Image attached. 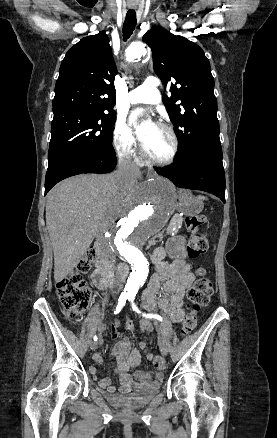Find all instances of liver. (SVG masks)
Returning <instances> with one entry per match:
<instances>
[{
  "label": "liver",
  "mask_w": 277,
  "mask_h": 438,
  "mask_svg": "<svg viewBox=\"0 0 277 438\" xmlns=\"http://www.w3.org/2000/svg\"><path fill=\"white\" fill-rule=\"evenodd\" d=\"M116 180L115 174H80L49 192L46 226L54 252L55 282L78 266L97 232L110 230L120 218L121 205H127L126 188L132 186H117Z\"/></svg>",
  "instance_id": "obj_1"
}]
</instances>
